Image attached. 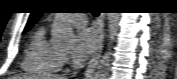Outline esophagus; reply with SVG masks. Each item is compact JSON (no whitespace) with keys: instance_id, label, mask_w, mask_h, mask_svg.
Masks as SVG:
<instances>
[{"instance_id":"34e87169","label":"esophagus","mask_w":177,"mask_h":79,"mask_svg":"<svg viewBox=\"0 0 177 79\" xmlns=\"http://www.w3.org/2000/svg\"><path fill=\"white\" fill-rule=\"evenodd\" d=\"M104 14L101 13L97 19V30L99 33V43L95 53L93 54L91 60L88 63V66L85 70V79H92L96 68L99 63V59L102 53L103 45H104Z\"/></svg>"}]
</instances>
